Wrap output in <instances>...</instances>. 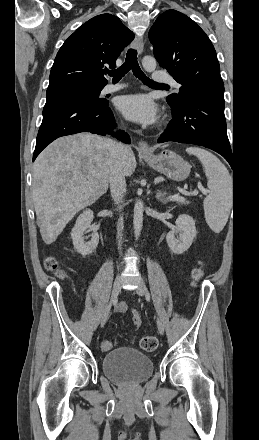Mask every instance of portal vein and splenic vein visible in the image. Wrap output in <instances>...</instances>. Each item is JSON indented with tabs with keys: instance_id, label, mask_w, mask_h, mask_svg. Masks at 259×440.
<instances>
[{
	"instance_id": "portal-vein-and-splenic-vein-1",
	"label": "portal vein and splenic vein",
	"mask_w": 259,
	"mask_h": 440,
	"mask_svg": "<svg viewBox=\"0 0 259 440\" xmlns=\"http://www.w3.org/2000/svg\"><path fill=\"white\" fill-rule=\"evenodd\" d=\"M201 191L204 195H207L209 191L207 189L201 188ZM183 194L188 196H195L198 194V190L195 189L193 192H183ZM170 201H185V198L183 196H180L179 194L172 195L168 198Z\"/></svg>"
}]
</instances>
